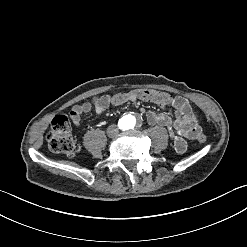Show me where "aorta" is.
Instances as JSON below:
<instances>
[{
  "mask_svg": "<svg viewBox=\"0 0 247 247\" xmlns=\"http://www.w3.org/2000/svg\"><path fill=\"white\" fill-rule=\"evenodd\" d=\"M134 122H135L134 119L127 120V121L125 122V127H126V128L130 127L131 125H133Z\"/></svg>",
  "mask_w": 247,
  "mask_h": 247,
  "instance_id": "1",
  "label": "aorta"
}]
</instances>
